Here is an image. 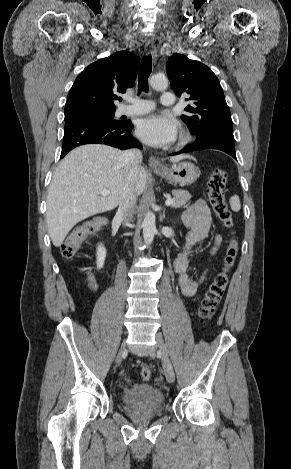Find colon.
Segmentation results:
<instances>
[{
  "label": "colon",
  "mask_w": 291,
  "mask_h": 469,
  "mask_svg": "<svg viewBox=\"0 0 291 469\" xmlns=\"http://www.w3.org/2000/svg\"><path fill=\"white\" fill-rule=\"evenodd\" d=\"M226 182V171L221 168L215 169L208 181L207 193L215 215L224 226L230 228L233 221L231 213L225 202L224 191ZM104 223V218L97 217L76 226L61 246L62 256L67 260L74 258L83 241L90 235L97 232ZM237 255L238 244L235 239H231L225 252L223 269L215 275L202 298L199 308V317L202 323L209 321L215 314L226 290L229 280V271L233 267ZM140 377L144 381H149L152 377L150 367H142L140 370Z\"/></svg>",
  "instance_id": "5ec220e1"
}]
</instances>
